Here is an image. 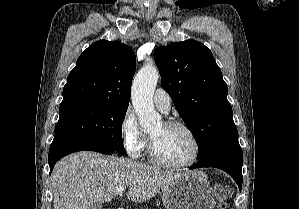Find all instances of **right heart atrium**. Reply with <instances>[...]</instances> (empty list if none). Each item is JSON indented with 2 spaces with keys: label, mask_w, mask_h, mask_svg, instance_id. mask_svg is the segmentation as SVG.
I'll return each mask as SVG.
<instances>
[{
  "label": "right heart atrium",
  "mask_w": 299,
  "mask_h": 209,
  "mask_svg": "<svg viewBox=\"0 0 299 209\" xmlns=\"http://www.w3.org/2000/svg\"><path fill=\"white\" fill-rule=\"evenodd\" d=\"M120 133L129 156L140 158L146 148L147 137L131 110H127L121 120Z\"/></svg>",
  "instance_id": "1"
}]
</instances>
